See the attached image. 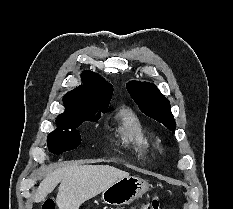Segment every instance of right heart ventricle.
I'll use <instances>...</instances> for the list:
<instances>
[{
	"label": "right heart ventricle",
	"mask_w": 233,
	"mask_h": 209,
	"mask_svg": "<svg viewBox=\"0 0 233 209\" xmlns=\"http://www.w3.org/2000/svg\"><path fill=\"white\" fill-rule=\"evenodd\" d=\"M117 133L125 147L132 149L139 158L152 150V143L135 113L123 108L118 113Z\"/></svg>",
	"instance_id": "obj_1"
}]
</instances>
